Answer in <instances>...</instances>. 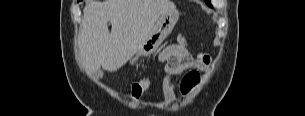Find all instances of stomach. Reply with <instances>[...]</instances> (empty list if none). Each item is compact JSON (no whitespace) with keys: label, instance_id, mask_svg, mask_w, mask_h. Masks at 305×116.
<instances>
[{"label":"stomach","instance_id":"1","mask_svg":"<svg viewBox=\"0 0 305 116\" xmlns=\"http://www.w3.org/2000/svg\"><path fill=\"white\" fill-rule=\"evenodd\" d=\"M179 19V12L175 9L173 11L165 12L156 22L151 33L138 49L135 57L130 60V63L135 64L140 57L148 56L154 53L166 37L172 32L174 26Z\"/></svg>","mask_w":305,"mask_h":116}]
</instances>
